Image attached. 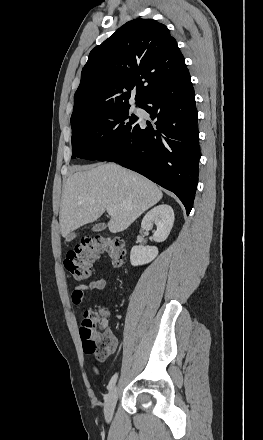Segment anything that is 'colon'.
<instances>
[{
	"label": "colon",
	"mask_w": 263,
	"mask_h": 440,
	"mask_svg": "<svg viewBox=\"0 0 263 440\" xmlns=\"http://www.w3.org/2000/svg\"><path fill=\"white\" fill-rule=\"evenodd\" d=\"M124 254L125 243L121 238H84L67 254L64 265L74 280L82 281L90 276L92 264L101 256H108L114 266L120 267ZM105 314L103 309L87 312L80 328L85 354L99 361L106 358L115 340L105 326Z\"/></svg>",
	"instance_id": "1"
}]
</instances>
